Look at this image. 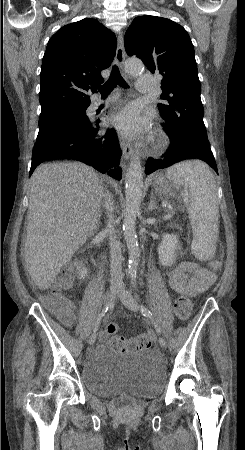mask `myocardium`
I'll use <instances>...</instances> for the list:
<instances>
[{"mask_svg":"<svg viewBox=\"0 0 245 450\" xmlns=\"http://www.w3.org/2000/svg\"><path fill=\"white\" fill-rule=\"evenodd\" d=\"M169 142V137L167 135V133L163 130L160 129L159 133L157 135V143L159 146H164Z\"/></svg>","mask_w":245,"mask_h":450,"instance_id":"1","label":"myocardium"}]
</instances>
